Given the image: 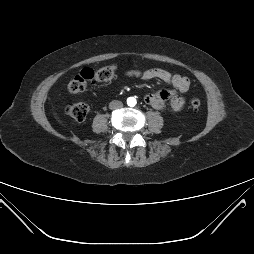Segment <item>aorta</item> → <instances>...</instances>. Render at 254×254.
<instances>
[{
	"mask_svg": "<svg viewBox=\"0 0 254 254\" xmlns=\"http://www.w3.org/2000/svg\"><path fill=\"white\" fill-rule=\"evenodd\" d=\"M136 103H137V101H136V99H135L134 97H129V98L127 99V104H128V106L133 107V106L136 105Z\"/></svg>",
	"mask_w": 254,
	"mask_h": 254,
	"instance_id": "762f6f07",
	"label": "aorta"
}]
</instances>
